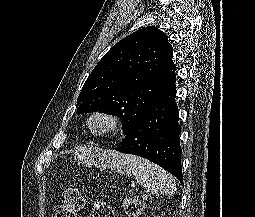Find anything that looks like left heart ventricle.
<instances>
[{
  "instance_id": "b2bd125f",
  "label": "left heart ventricle",
  "mask_w": 255,
  "mask_h": 217,
  "mask_svg": "<svg viewBox=\"0 0 255 217\" xmlns=\"http://www.w3.org/2000/svg\"><path fill=\"white\" fill-rule=\"evenodd\" d=\"M100 122H94V126H99Z\"/></svg>"
}]
</instances>
